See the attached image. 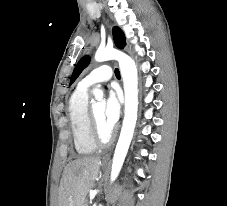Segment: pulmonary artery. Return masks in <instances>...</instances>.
<instances>
[{"instance_id": "obj_1", "label": "pulmonary artery", "mask_w": 227, "mask_h": 206, "mask_svg": "<svg viewBox=\"0 0 227 206\" xmlns=\"http://www.w3.org/2000/svg\"><path fill=\"white\" fill-rule=\"evenodd\" d=\"M113 76V71L110 66L102 65L92 70L87 76H85L79 83V87L83 89H89L90 87L109 81Z\"/></svg>"}]
</instances>
